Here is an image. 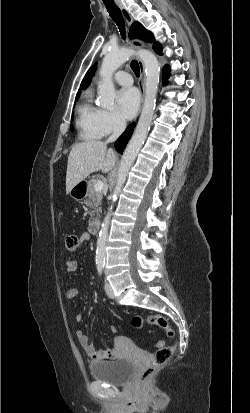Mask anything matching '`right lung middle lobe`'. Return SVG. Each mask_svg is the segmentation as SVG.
Wrapping results in <instances>:
<instances>
[{
	"label": "right lung middle lobe",
	"mask_w": 250,
	"mask_h": 413,
	"mask_svg": "<svg viewBox=\"0 0 250 413\" xmlns=\"http://www.w3.org/2000/svg\"><path fill=\"white\" fill-rule=\"evenodd\" d=\"M79 96H76V99L78 98ZM71 130H73V127H71Z\"/></svg>",
	"instance_id": "right-lung-middle-lobe-1"
}]
</instances>
